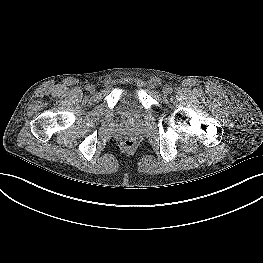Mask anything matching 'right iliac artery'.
I'll return each mask as SVG.
<instances>
[{"label":"right iliac artery","mask_w":263,"mask_h":263,"mask_svg":"<svg viewBox=\"0 0 263 263\" xmlns=\"http://www.w3.org/2000/svg\"><path fill=\"white\" fill-rule=\"evenodd\" d=\"M85 87H86V90H89L90 85L88 84Z\"/></svg>","instance_id":"obj_1"}]
</instances>
